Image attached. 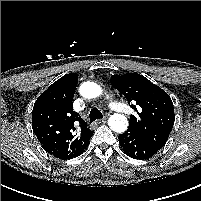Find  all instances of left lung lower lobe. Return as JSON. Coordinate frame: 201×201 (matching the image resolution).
<instances>
[{
	"label": "left lung lower lobe",
	"mask_w": 201,
	"mask_h": 201,
	"mask_svg": "<svg viewBox=\"0 0 201 201\" xmlns=\"http://www.w3.org/2000/svg\"><path fill=\"white\" fill-rule=\"evenodd\" d=\"M118 138L123 151L134 159H149L160 150L131 129L119 134Z\"/></svg>",
	"instance_id": "0a47b994"
}]
</instances>
